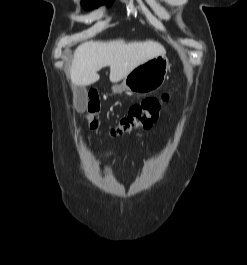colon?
Segmentation results:
<instances>
[{
    "instance_id": "obj_1",
    "label": "colon",
    "mask_w": 247,
    "mask_h": 265,
    "mask_svg": "<svg viewBox=\"0 0 247 265\" xmlns=\"http://www.w3.org/2000/svg\"><path fill=\"white\" fill-rule=\"evenodd\" d=\"M168 99L169 95L164 93L160 96L146 98L142 102L132 105L127 114L110 130V134L112 136H119L135 130L150 128L159 118L163 106ZM87 109L89 126L92 130H97V114L100 109V104L96 91L89 93Z\"/></svg>"
}]
</instances>
